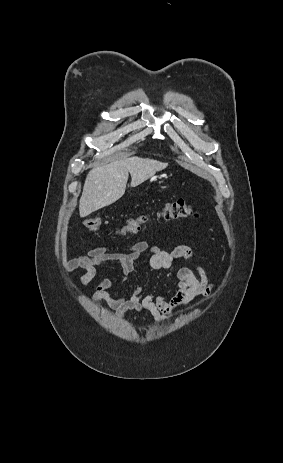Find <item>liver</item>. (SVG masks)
Segmentation results:
<instances>
[{
  "mask_svg": "<svg viewBox=\"0 0 283 463\" xmlns=\"http://www.w3.org/2000/svg\"><path fill=\"white\" fill-rule=\"evenodd\" d=\"M167 166V163L154 159L130 157L94 167L88 172L84 183L79 201L80 217H86L120 199L125 193L129 173L131 187H136Z\"/></svg>",
  "mask_w": 283,
  "mask_h": 463,
  "instance_id": "obj_1",
  "label": "liver"
}]
</instances>
